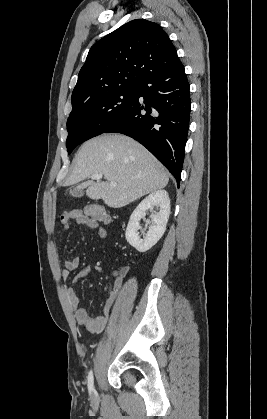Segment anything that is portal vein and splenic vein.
Here are the masks:
<instances>
[{
  "label": "portal vein and splenic vein",
  "instance_id": "1",
  "mask_svg": "<svg viewBox=\"0 0 267 419\" xmlns=\"http://www.w3.org/2000/svg\"><path fill=\"white\" fill-rule=\"evenodd\" d=\"M102 177H103V175H102V174H93V175H91V176H90V178H91L92 180H100ZM116 185H117V183H116V182H111V183H110V186H112V187H115Z\"/></svg>",
  "mask_w": 267,
  "mask_h": 419
}]
</instances>
